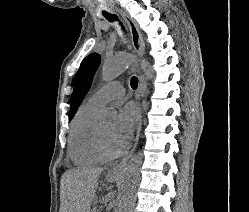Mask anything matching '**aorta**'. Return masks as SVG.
Here are the masks:
<instances>
[{
	"mask_svg": "<svg viewBox=\"0 0 249 212\" xmlns=\"http://www.w3.org/2000/svg\"><path fill=\"white\" fill-rule=\"evenodd\" d=\"M136 61L137 57L128 53L119 54L116 57L105 61L102 66L103 80L106 82L112 81ZM140 66L146 77L148 79H153L154 72L151 65L146 60H142ZM103 115L107 118H113L116 116V111L107 108L104 110ZM142 157V151H138L131 157L129 164L124 169L119 186L117 212L131 211L137 180L142 165Z\"/></svg>",
	"mask_w": 249,
	"mask_h": 212,
	"instance_id": "1",
	"label": "aorta"
}]
</instances>
